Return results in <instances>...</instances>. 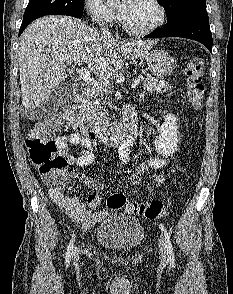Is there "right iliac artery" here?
Here are the masks:
<instances>
[{
	"mask_svg": "<svg viewBox=\"0 0 233 294\" xmlns=\"http://www.w3.org/2000/svg\"><path fill=\"white\" fill-rule=\"evenodd\" d=\"M74 238H75V235L73 234L72 240L70 241L68 248H67L66 257H65V261L67 263V266L70 263L71 256H72L73 246H74Z\"/></svg>",
	"mask_w": 233,
	"mask_h": 294,
	"instance_id": "82829eb1",
	"label": "right iliac artery"
}]
</instances>
